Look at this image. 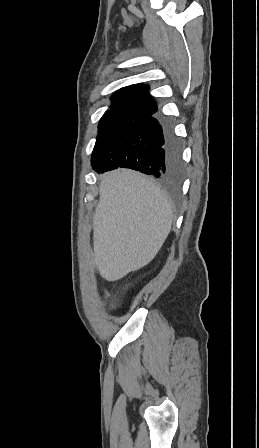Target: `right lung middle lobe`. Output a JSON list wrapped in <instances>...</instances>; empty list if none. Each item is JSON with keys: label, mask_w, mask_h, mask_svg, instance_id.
Masks as SVG:
<instances>
[{"label": "right lung middle lobe", "mask_w": 259, "mask_h": 448, "mask_svg": "<svg viewBox=\"0 0 259 448\" xmlns=\"http://www.w3.org/2000/svg\"><path fill=\"white\" fill-rule=\"evenodd\" d=\"M143 117L137 113L104 114L98 125V135L91 157L93 166L103 151L134 121Z\"/></svg>", "instance_id": "obj_1"}]
</instances>
